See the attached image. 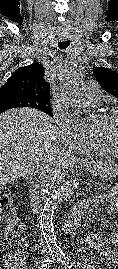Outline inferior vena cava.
<instances>
[{
  "mask_svg": "<svg viewBox=\"0 0 118 269\" xmlns=\"http://www.w3.org/2000/svg\"><path fill=\"white\" fill-rule=\"evenodd\" d=\"M53 177H54V174L51 173V171L48 169V167H46L45 170H43L39 173V181H40L39 186L41 188L39 203H41V204L45 203V200H46L45 194H46L48 187L51 184Z\"/></svg>",
  "mask_w": 118,
  "mask_h": 269,
  "instance_id": "1",
  "label": "inferior vena cava"
}]
</instances>
